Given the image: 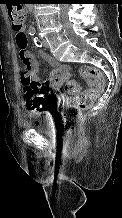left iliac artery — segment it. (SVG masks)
<instances>
[{"instance_id":"obj_1","label":"left iliac artery","mask_w":122,"mask_h":218,"mask_svg":"<svg viewBox=\"0 0 122 218\" xmlns=\"http://www.w3.org/2000/svg\"><path fill=\"white\" fill-rule=\"evenodd\" d=\"M34 43L37 47L41 48L42 47V43L38 38H34Z\"/></svg>"}]
</instances>
